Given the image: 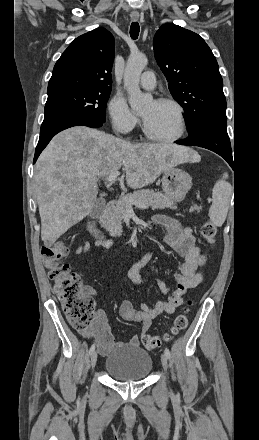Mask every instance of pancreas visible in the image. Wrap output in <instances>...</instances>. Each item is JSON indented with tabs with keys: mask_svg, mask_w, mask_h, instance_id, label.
<instances>
[{
	"mask_svg": "<svg viewBox=\"0 0 259 440\" xmlns=\"http://www.w3.org/2000/svg\"><path fill=\"white\" fill-rule=\"evenodd\" d=\"M128 199H133L136 201H140L147 206L151 207L152 210L155 209H176L177 206L174 203V200L167 197L163 193L159 191H153L150 189H142L139 191H135L133 193H129L122 198L118 199L115 204L108 208L104 219L102 221L103 227L109 231L111 236H120L122 233V219L127 215V210L134 205L133 203H129ZM202 208L193 205L190 207V212L197 211L200 212Z\"/></svg>",
	"mask_w": 259,
	"mask_h": 440,
	"instance_id": "pancreas-1",
	"label": "pancreas"
}]
</instances>
